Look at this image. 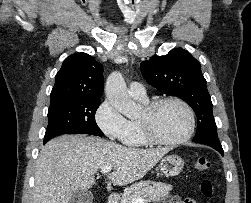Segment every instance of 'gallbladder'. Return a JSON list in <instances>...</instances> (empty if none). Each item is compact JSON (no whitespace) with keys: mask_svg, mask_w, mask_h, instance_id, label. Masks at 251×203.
I'll return each mask as SVG.
<instances>
[{"mask_svg":"<svg viewBox=\"0 0 251 203\" xmlns=\"http://www.w3.org/2000/svg\"><path fill=\"white\" fill-rule=\"evenodd\" d=\"M93 194L88 190H78L75 192L69 203H92Z\"/></svg>","mask_w":251,"mask_h":203,"instance_id":"1","label":"gallbladder"}]
</instances>
